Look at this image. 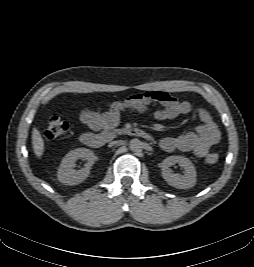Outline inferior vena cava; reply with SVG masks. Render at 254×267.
Here are the masks:
<instances>
[{
	"instance_id": "inferior-vena-cava-1",
	"label": "inferior vena cava",
	"mask_w": 254,
	"mask_h": 267,
	"mask_svg": "<svg viewBox=\"0 0 254 267\" xmlns=\"http://www.w3.org/2000/svg\"><path fill=\"white\" fill-rule=\"evenodd\" d=\"M116 144H117V141H112V142L109 143L108 146H109V147H112V146H114V145H116Z\"/></svg>"
}]
</instances>
